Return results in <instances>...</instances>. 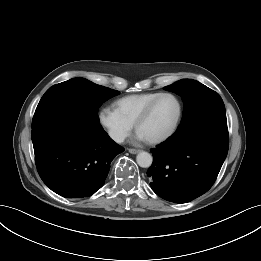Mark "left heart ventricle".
I'll use <instances>...</instances> for the list:
<instances>
[{
	"label": "left heart ventricle",
	"mask_w": 261,
	"mask_h": 261,
	"mask_svg": "<svg viewBox=\"0 0 261 261\" xmlns=\"http://www.w3.org/2000/svg\"><path fill=\"white\" fill-rule=\"evenodd\" d=\"M177 110V103L173 98H161L155 104L149 117L139 126L138 133L143 135L146 140L164 134L173 124Z\"/></svg>",
	"instance_id": "obj_1"
}]
</instances>
